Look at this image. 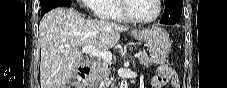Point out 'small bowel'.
I'll return each mask as SVG.
<instances>
[{
	"label": "small bowel",
	"instance_id": "c3829d8e",
	"mask_svg": "<svg viewBox=\"0 0 227 88\" xmlns=\"http://www.w3.org/2000/svg\"><path fill=\"white\" fill-rule=\"evenodd\" d=\"M171 80L172 87H179V79L173 70L167 65H161L158 68V75L152 79V88H162Z\"/></svg>",
	"mask_w": 227,
	"mask_h": 88
}]
</instances>
